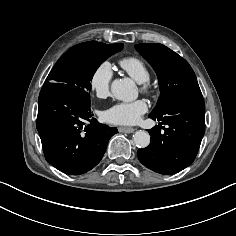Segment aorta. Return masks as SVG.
I'll list each match as a JSON object with an SVG mask.
<instances>
[{
	"label": "aorta",
	"instance_id": "762f6f07",
	"mask_svg": "<svg viewBox=\"0 0 236 236\" xmlns=\"http://www.w3.org/2000/svg\"><path fill=\"white\" fill-rule=\"evenodd\" d=\"M113 96L124 102H131L138 97V91L130 78L115 79L111 84ZM134 143L139 148H146L150 144V135L146 131H136L133 135Z\"/></svg>",
	"mask_w": 236,
	"mask_h": 236
}]
</instances>
